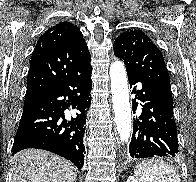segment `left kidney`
Here are the masks:
<instances>
[{"mask_svg": "<svg viewBox=\"0 0 196 182\" xmlns=\"http://www.w3.org/2000/svg\"><path fill=\"white\" fill-rule=\"evenodd\" d=\"M126 182H138V180L133 176H129Z\"/></svg>", "mask_w": 196, "mask_h": 182, "instance_id": "left-kidney-1", "label": "left kidney"}]
</instances>
